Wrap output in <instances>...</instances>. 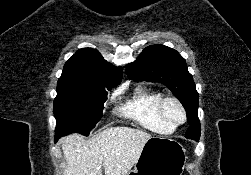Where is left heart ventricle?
<instances>
[{"instance_id": "b2bd125f", "label": "left heart ventricle", "mask_w": 251, "mask_h": 175, "mask_svg": "<svg viewBox=\"0 0 251 175\" xmlns=\"http://www.w3.org/2000/svg\"><path fill=\"white\" fill-rule=\"evenodd\" d=\"M165 113L169 120V126H173L182 122L183 112L181 108L174 102H169L165 107Z\"/></svg>"}]
</instances>
